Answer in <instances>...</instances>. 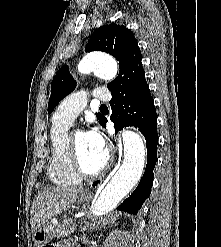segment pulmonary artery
Instances as JSON below:
<instances>
[{
    "label": "pulmonary artery",
    "instance_id": "1",
    "mask_svg": "<svg viewBox=\"0 0 221 247\" xmlns=\"http://www.w3.org/2000/svg\"><path fill=\"white\" fill-rule=\"evenodd\" d=\"M92 95L95 99L102 101H107L111 98L108 90L96 89ZM87 99L88 94L85 91H78L69 95L57 108L54 118L67 124L72 123L85 108Z\"/></svg>",
    "mask_w": 221,
    "mask_h": 247
}]
</instances>
